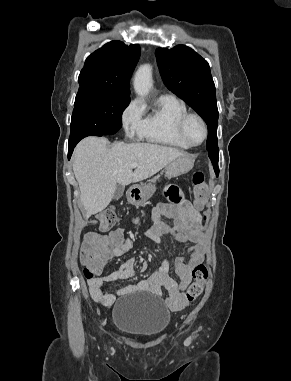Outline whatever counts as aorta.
Here are the masks:
<instances>
[{
  "label": "aorta",
  "instance_id": "obj_1",
  "mask_svg": "<svg viewBox=\"0 0 291 381\" xmlns=\"http://www.w3.org/2000/svg\"><path fill=\"white\" fill-rule=\"evenodd\" d=\"M152 87V67L145 64L139 67L134 77V89L138 96H146Z\"/></svg>",
  "mask_w": 291,
  "mask_h": 381
}]
</instances>
